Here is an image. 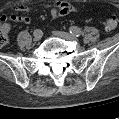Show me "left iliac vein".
<instances>
[{
    "mask_svg": "<svg viewBox=\"0 0 119 119\" xmlns=\"http://www.w3.org/2000/svg\"><path fill=\"white\" fill-rule=\"evenodd\" d=\"M54 35L59 36V37L64 38V39H67V40H71V41H77L78 40L74 35H72L68 32L55 31Z\"/></svg>",
    "mask_w": 119,
    "mask_h": 119,
    "instance_id": "left-iliac-vein-1",
    "label": "left iliac vein"
}]
</instances>
